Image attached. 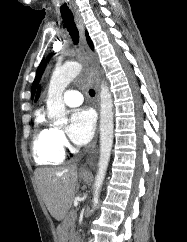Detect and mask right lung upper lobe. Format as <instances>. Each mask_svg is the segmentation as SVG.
<instances>
[{
  "instance_id": "right-lung-upper-lobe-1",
  "label": "right lung upper lobe",
  "mask_w": 187,
  "mask_h": 242,
  "mask_svg": "<svg viewBox=\"0 0 187 242\" xmlns=\"http://www.w3.org/2000/svg\"><path fill=\"white\" fill-rule=\"evenodd\" d=\"M86 37H87L88 44L90 45L91 49H93L92 41L90 40L87 32H86ZM39 94H40V88L38 89V92H37V95H36V100L38 99Z\"/></svg>"
}]
</instances>
